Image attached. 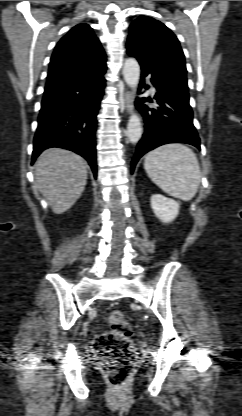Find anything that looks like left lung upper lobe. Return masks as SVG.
I'll list each match as a JSON object with an SVG mask.
<instances>
[{
    "instance_id": "obj_1",
    "label": "left lung upper lobe",
    "mask_w": 242,
    "mask_h": 416,
    "mask_svg": "<svg viewBox=\"0 0 242 416\" xmlns=\"http://www.w3.org/2000/svg\"><path fill=\"white\" fill-rule=\"evenodd\" d=\"M127 50L149 63L164 83L188 94L185 57L176 36L151 17H138L129 28Z\"/></svg>"
}]
</instances>
